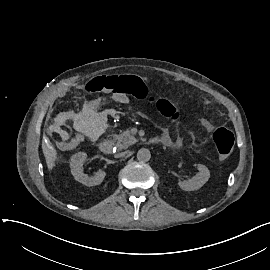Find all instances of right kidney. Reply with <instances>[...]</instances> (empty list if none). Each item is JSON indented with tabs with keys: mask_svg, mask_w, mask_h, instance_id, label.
Instances as JSON below:
<instances>
[{
	"mask_svg": "<svg viewBox=\"0 0 270 270\" xmlns=\"http://www.w3.org/2000/svg\"><path fill=\"white\" fill-rule=\"evenodd\" d=\"M87 158L85 152H78L71 157L70 168L71 173L74 176L75 180L86 185V186H95L102 183L105 178L106 173L103 170L97 171L94 176L88 177L83 173V163Z\"/></svg>",
	"mask_w": 270,
	"mask_h": 270,
	"instance_id": "right-kidney-1",
	"label": "right kidney"
}]
</instances>
